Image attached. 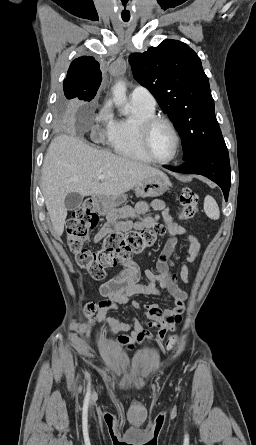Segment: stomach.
Returning <instances> with one entry per match:
<instances>
[{
    "mask_svg": "<svg viewBox=\"0 0 256 445\" xmlns=\"http://www.w3.org/2000/svg\"><path fill=\"white\" fill-rule=\"evenodd\" d=\"M169 179L164 175L151 176L140 182L135 188V194L138 197H158L163 195L170 186ZM127 200L125 195L105 197H93L95 209L102 215H106L111 221H116L122 218L118 207L124 204Z\"/></svg>",
    "mask_w": 256,
    "mask_h": 445,
    "instance_id": "1",
    "label": "stomach"
}]
</instances>
